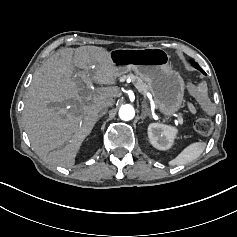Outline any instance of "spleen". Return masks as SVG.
Instances as JSON below:
<instances>
[{"label": "spleen", "mask_w": 237, "mask_h": 237, "mask_svg": "<svg viewBox=\"0 0 237 237\" xmlns=\"http://www.w3.org/2000/svg\"><path fill=\"white\" fill-rule=\"evenodd\" d=\"M206 143L195 142L187 146L175 159L169 161L170 166L186 165L196 160L205 150Z\"/></svg>", "instance_id": "obj_1"}]
</instances>
